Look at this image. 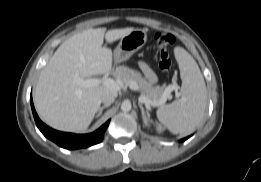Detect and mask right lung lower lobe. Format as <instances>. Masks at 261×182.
Segmentation results:
<instances>
[{
  "label": "right lung lower lobe",
  "mask_w": 261,
  "mask_h": 182,
  "mask_svg": "<svg viewBox=\"0 0 261 182\" xmlns=\"http://www.w3.org/2000/svg\"><path fill=\"white\" fill-rule=\"evenodd\" d=\"M31 108L33 112V116L35 119V123L39 130L46 136L48 139L52 140L60 147L66 149H77V148H86L97 143H100L104 138V132L109 125V121H107L103 126H101L98 130L93 133L85 134V135H77L72 133H64L56 131L47 125H45L38 117L33 101L31 98Z\"/></svg>",
  "instance_id": "1"
}]
</instances>
